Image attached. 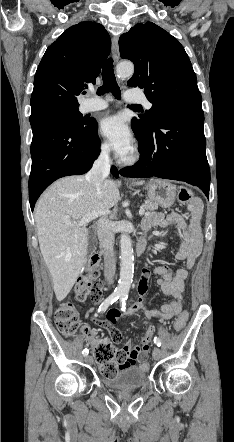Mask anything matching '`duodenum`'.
Returning <instances> with one entry per match:
<instances>
[{
  "mask_svg": "<svg viewBox=\"0 0 234 442\" xmlns=\"http://www.w3.org/2000/svg\"><path fill=\"white\" fill-rule=\"evenodd\" d=\"M136 253L137 255H142L146 249V241L144 239H141L138 241V243L136 244Z\"/></svg>",
  "mask_w": 234,
  "mask_h": 442,
  "instance_id": "1",
  "label": "duodenum"
}]
</instances>
